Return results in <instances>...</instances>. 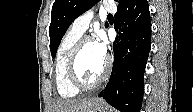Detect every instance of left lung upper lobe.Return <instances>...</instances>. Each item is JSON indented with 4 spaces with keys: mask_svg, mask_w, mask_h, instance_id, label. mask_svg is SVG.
<instances>
[{
    "mask_svg": "<svg viewBox=\"0 0 193 112\" xmlns=\"http://www.w3.org/2000/svg\"><path fill=\"white\" fill-rule=\"evenodd\" d=\"M99 0H56L52 6L51 23L49 26L50 50L55 57L58 46L70 24ZM117 1V0H116ZM128 0H122L118 7ZM107 27L108 24L106 23Z\"/></svg>",
    "mask_w": 193,
    "mask_h": 112,
    "instance_id": "obj_1",
    "label": "left lung upper lobe"
}]
</instances>
